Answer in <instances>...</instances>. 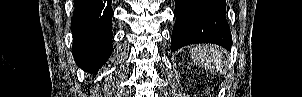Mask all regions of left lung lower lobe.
<instances>
[{"label":"left lung lower lobe","mask_w":302,"mask_h":97,"mask_svg":"<svg viewBox=\"0 0 302 97\" xmlns=\"http://www.w3.org/2000/svg\"><path fill=\"white\" fill-rule=\"evenodd\" d=\"M225 10V0H175L171 50L197 43H213L230 49L232 37Z\"/></svg>","instance_id":"left-lung-lower-lobe-1"}]
</instances>
